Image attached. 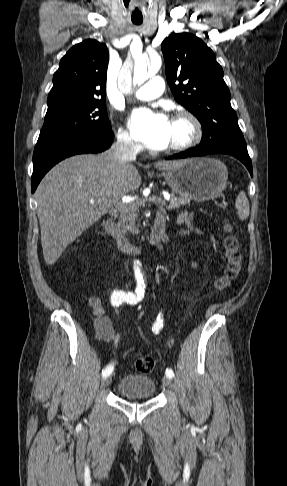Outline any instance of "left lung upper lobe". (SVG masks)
Here are the masks:
<instances>
[{"instance_id":"obj_1","label":"left lung upper lobe","mask_w":287,"mask_h":486,"mask_svg":"<svg viewBox=\"0 0 287 486\" xmlns=\"http://www.w3.org/2000/svg\"><path fill=\"white\" fill-rule=\"evenodd\" d=\"M161 49L175 100L194 114L203 129L199 148L247 152L222 67L213 51L189 33L171 34Z\"/></svg>"}]
</instances>
